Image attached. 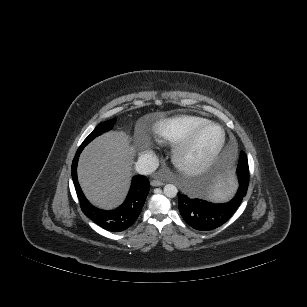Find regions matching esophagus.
Instances as JSON below:
<instances>
[{"mask_svg":"<svg viewBox=\"0 0 307 307\" xmlns=\"http://www.w3.org/2000/svg\"><path fill=\"white\" fill-rule=\"evenodd\" d=\"M163 184H164V183H163L162 181L158 180V179H153V180L151 181V185L154 186V187H156V186H162Z\"/></svg>","mask_w":307,"mask_h":307,"instance_id":"esophagus-1","label":"esophagus"}]
</instances>
